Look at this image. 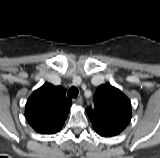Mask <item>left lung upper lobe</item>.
Returning a JSON list of instances; mask_svg holds the SVG:
<instances>
[{
	"label": "left lung upper lobe",
	"mask_w": 160,
	"mask_h": 158,
	"mask_svg": "<svg viewBox=\"0 0 160 158\" xmlns=\"http://www.w3.org/2000/svg\"><path fill=\"white\" fill-rule=\"evenodd\" d=\"M94 102L95 107L88 110L94 128L116 136L130 123L131 103L110 83L102 84L97 88Z\"/></svg>",
	"instance_id": "1"
}]
</instances>
